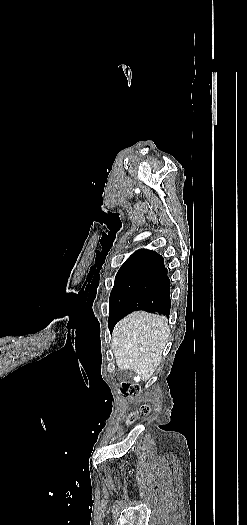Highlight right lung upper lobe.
<instances>
[{
	"instance_id": "1",
	"label": "right lung upper lobe",
	"mask_w": 247,
	"mask_h": 525,
	"mask_svg": "<svg viewBox=\"0 0 247 525\" xmlns=\"http://www.w3.org/2000/svg\"><path fill=\"white\" fill-rule=\"evenodd\" d=\"M158 256L159 254H157L154 251L140 249L126 260V262L121 266L119 271H126L143 267L147 265L151 259L156 258Z\"/></svg>"
}]
</instances>
